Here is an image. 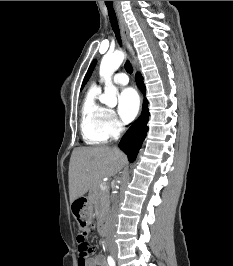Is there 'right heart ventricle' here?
Instances as JSON below:
<instances>
[{
    "instance_id": "1",
    "label": "right heart ventricle",
    "mask_w": 233,
    "mask_h": 266,
    "mask_svg": "<svg viewBox=\"0 0 233 266\" xmlns=\"http://www.w3.org/2000/svg\"><path fill=\"white\" fill-rule=\"evenodd\" d=\"M99 87H91L81 107L80 129L84 141L90 145L106 142L108 137L103 130L106 108L98 102Z\"/></svg>"
}]
</instances>
